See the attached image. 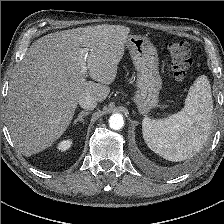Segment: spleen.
<instances>
[{
  "instance_id": "3e777b00",
  "label": "spleen",
  "mask_w": 224,
  "mask_h": 224,
  "mask_svg": "<svg viewBox=\"0 0 224 224\" xmlns=\"http://www.w3.org/2000/svg\"><path fill=\"white\" fill-rule=\"evenodd\" d=\"M213 100L210 82L199 76L190 87L184 108L168 118L145 117L142 133L147 146L166 160L191 158L206 143L212 128Z\"/></svg>"
}]
</instances>
